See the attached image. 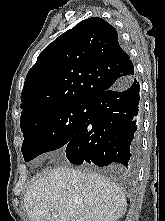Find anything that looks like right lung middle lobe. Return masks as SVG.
Returning a JSON list of instances; mask_svg holds the SVG:
<instances>
[{
  "label": "right lung middle lobe",
  "instance_id": "obj_1",
  "mask_svg": "<svg viewBox=\"0 0 165 221\" xmlns=\"http://www.w3.org/2000/svg\"><path fill=\"white\" fill-rule=\"evenodd\" d=\"M89 114V103L73 104L43 111L20 122L25 161L66 146L86 123Z\"/></svg>",
  "mask_w": 165,
  "mask_h": 221
}]
</instances>
